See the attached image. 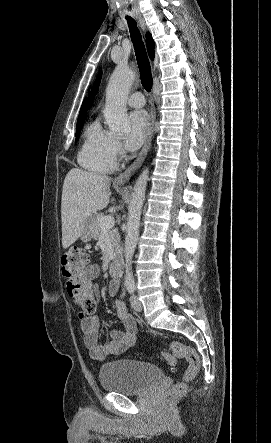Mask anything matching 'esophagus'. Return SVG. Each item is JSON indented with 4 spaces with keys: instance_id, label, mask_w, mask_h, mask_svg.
Returning <instances> with one entry per match:
<instances>
[{
    "instance_id": "1",
    "label": "esophagus",
    "mask_w": 271,
    "mask_h": 443,
    "mask_svg": "<svg viewBox=\"0 0 271 443\" xmlns=\"http://www.w3.org/2000/svg\"><path fill=\"white\" fill-rule=\"evenodd\" d=\"M136 18L138 19L139 25L143 31H145V23L142 19L141 15H136ZM156 120V113L154 109V105H151V111H150V120H149V128H148V135L145 140V143L143 145V148L141 149L139 155L137 156L136 160L128 167L124 172L120 173L115 179L114 182L120 185H124V183L128 182L129 179L137 172V170L141 167L143 164L147 153L149 151V148L151 146V141L153 137L154 132V125Z\"/></svg>"
}]
</instances>
